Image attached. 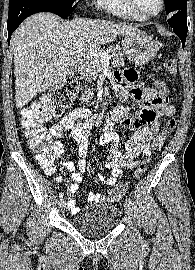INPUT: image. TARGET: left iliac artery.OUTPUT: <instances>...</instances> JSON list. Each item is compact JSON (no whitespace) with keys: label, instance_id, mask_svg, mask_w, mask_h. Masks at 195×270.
I'll return each mask as SVG.
<instances>
[{"label":"left iliac artery","instance_id":"left-iliac-artery-1","mask_svg":"<svg viewBox=\"0 0 195 270\" xmlns=\"http://www.w3.org/2000/svg\"><path fill=\"white\" fill-rule=\"evenodd\" d=\"M128 203H129L130 205L133 204V203H132V200H131L130 198H128Z\"/></svg>","mask_w":195,"mask_h":270}]
</instances>
